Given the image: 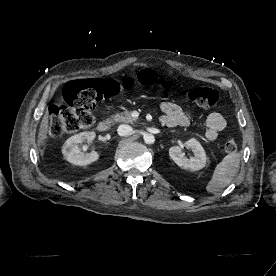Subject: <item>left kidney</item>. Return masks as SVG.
Listing matches in <instances>:
<instances>
[{
	"mask_svg": "<svg viewBox=\"0 0 276 276\" xmlns=\"http://www.w3.org/2000/svg\"><path fill=\"white\" fill-rule=\"evenodd\" d=\"M185 146L192 150L194 156L187 158L180 146H172L169 149V156L181 168L197 171L205 167L206 154L201 144L196 139H189Z\"/></svg>",
	"mask_w": 276,
	"mask_h": 276,
	"instance_id": "5707ae66",
	"label": "left kidney"
}]
</instances>
